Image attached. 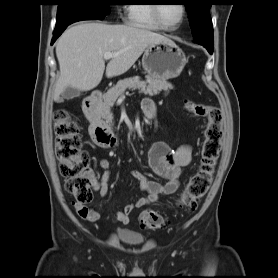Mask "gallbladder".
<instances>
[{
	"instance_id": "bac80fb5",
	"label": "gallbladder",
	"mask_w": 278,
	"mask_h": 278,
	"mask_svg": "<svg viewBox=\"0 0 278 278\" xmlns=\"http://www.w3.org/2000/svg\"><path fill=\"white\" fill-rule=\"evenodd\" d=\"M80 94H81V90L73 87H67L65 91L62 93L58 102H63L64 100H71L73 98L80 96Z\"/></svg>"
}]
</instances>
